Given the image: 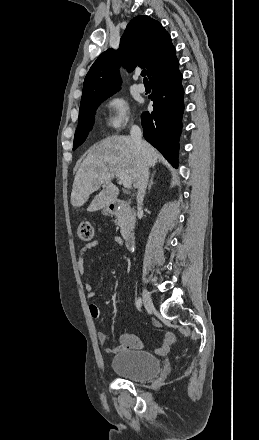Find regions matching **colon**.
<instances>
[{
	"instance_id": "colon-1",
	"label": "colon",
	"mask_w": 259,
	"mask_h": 440,
	"mask_svg": "<svg viewBox=\"0 0 259 440\" xmlns=\"http://www.w3.org/2000/svg\"><path fill=\"white\" fill-rule=\"evenodd\" d=\"M78 238L83 242H89L94 238V228L89 222H81L77 228Z\"/></svg>"
}]
</instances>
